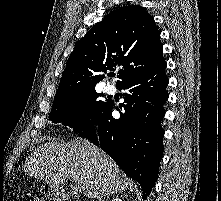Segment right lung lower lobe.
Wrapping results in <instances>:
<instances>
[{"mask_svg": "<svg viewBox=\"0 0 221 201\" xmlns=\"http://www.w3.org/2000/svg\"><path fill=\"white\" fill-rule=\"evenodd\" d=\"M165 69L163 60L152 70L123 81L118 88L127 92L123 94L124 103L117 108L120 118L112 117L111 101L100 118L79 134L99 145L128 177L140 184L143 199L157 180L164 150L160 123L168 99Z\"/></svg>", "mask_w": 221, "mask_h": 201, "instance_id": "obj_1", "label": "right lung lower lobe"}]
</instances>
